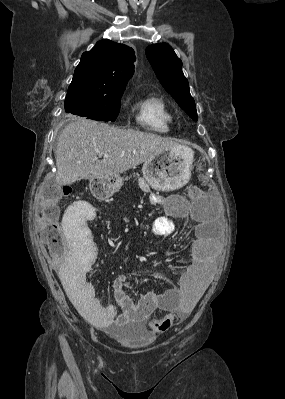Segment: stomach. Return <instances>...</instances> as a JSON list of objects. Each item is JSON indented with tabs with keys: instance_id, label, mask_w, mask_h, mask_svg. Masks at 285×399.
Returning a JSON list of instances; mask_svg holds the SVG:
<instances>
[{
	"instance_id": "obj_1",
	"label": "stomach",
	"mask_w": 285,
	"mask_h": 399,
	"mask_svg": "<svg viewBox=\"0 0 285 399\" xmlns=\"http://www.w3.org/2000/svg\"><path fill=\"white\" fill-rule=\"evenodd\" d=\"M192 149L185 146L164 150L144 162L143 177L156 190L171 191L180 188L191 177ZM123 178L111 175L91 179L89 188L94 197L106 200L120 190Z\"/></svg>"
}]
</instances>
